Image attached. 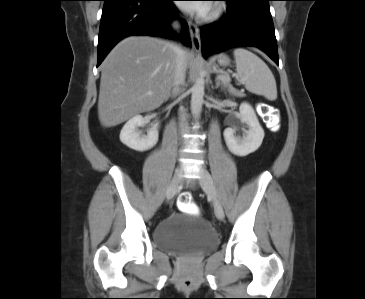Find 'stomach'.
Wrapping results in <instances>:
<instances>
[{"label": "stomach", "instance_id": "1", "mask_svg": "<svg viewBox=\"0 0 365 299\" xmlns=\"http://www.w3.org/2000/svg\"><path fill=\"white\" fill-rule=\"evenodd\" d=\"M218 63L220 66H228L229 63H230V60L229 58L226 56V55H221L219 58H218Z\"/></svg>", "mask_w": 365, "mask_h": 299}]
</instances>
